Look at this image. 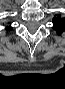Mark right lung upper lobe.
Here are the masks:
<instances>
[{
    "instance_id": "1",
    "label": "right lung upper lobe",
    "mask_w": 65,
    "mask_h": 89,
    "mask_svg": "<svg viewBox=\"0 0 65 89\" xmlns=\"http://www.w3.org/2000/svg\"><path fill=\"white\" fill-rule=\"evenodd\" d=\"M6 30L10 31V30H12V27H7Z\"/></svg>"
}]
</instances>
